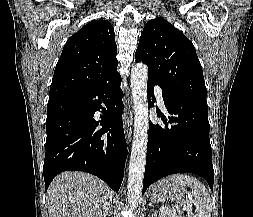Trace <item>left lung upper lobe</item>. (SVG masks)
<instances>
[{"label":"left lung upper lobe","instance_id":"obj_1","mask_svg":"<svg viewBox=\"0 0 253 217\" xmlns=\"http://www.w3.org/2000/svg\"><path fill=\"white\" fill-rule=\"evenodd\" d=\"M135 59L148 66V80L162 92L207 106L201 64L191 41L173 25L155 18L145 25Z\"/></svg>","mask_w":253,"mask_h":217}]
</instances>
